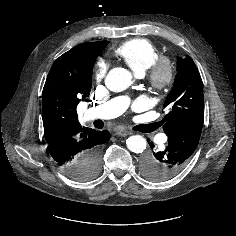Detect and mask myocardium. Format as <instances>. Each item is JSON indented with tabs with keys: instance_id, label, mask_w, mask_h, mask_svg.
<instances>
[{
	"instance_id": "f54148a6",
	"label": "myocardium",
	"mask_w": 236,
	"mask_h": 236,
	"mask_svg": "<svg viewBox=\"0 0 236 236\" xmlns=\"http://www.w3.org/2000/svg\"><path fill=\"white\" fill-rule=\"evenodd\" d=\"M176 67L172 57L160 55L145 71L148 84L156 91H167L175 79Z\"/></svg>"
}]
</instances>
